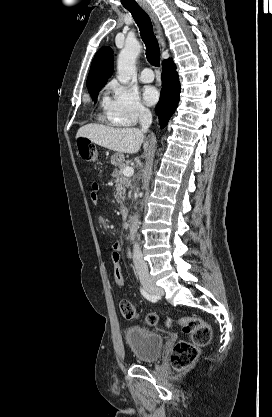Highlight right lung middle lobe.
I'll return each instance as SVG.
<instances>
[{"label": "right lung middle lobe", "mask_w": 272, "mask_h": 417, "mask_svg": "<svg viewBox=\"0 0 272 417\" xmlns=\"http://www.w3.org/2000/svg\"><path fill=\"white\" fill-rule=\"evenodd\" d=\"M99 91H100V89L89 92L93 100H95L97 98Z\"/></svg>", "instance_id": "obj_1"}]
</instances>
